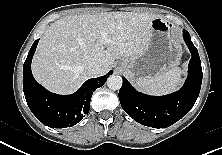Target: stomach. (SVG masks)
Masks as SVG:
<instances>
[{"mask_svg":"<svg viewBox=\"0 0 222 155\" xmlns=\"http://www.w3.org/2000/svg\"><path fill=\"white\" fill-rule=\"evenodd\" d=\"M181 46L173 25L157 17L150 23L148 46L140 56L124 58L121 70L132 80L156 77L179 64Z\"/></svg>","mask_w":222,"mask_h":155,"instance_id":"obj_1","label":"stomach"}]
</instances>
